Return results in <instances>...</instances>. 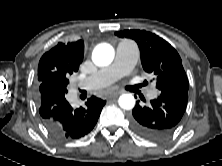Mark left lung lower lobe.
Masks as SVG:
<instances>
[{"label": "left lung lower lobe", "instance_id": "obj_1", "mask_svg": "<svg viewBox=\"0 0 222 166\" xmlns=\"http://www.w3.org/2000/svg\"><path fill=\"white\" fill-rule=\"evenodd\" d=\"M160 91V96L151 100L149 106H140L137 102L130 119L131 128L150 140H162L174 132L188 101L186 88L168 86Z\"/></svg>", "mask_w": 222, "mask_h": 166}]
</instances>
